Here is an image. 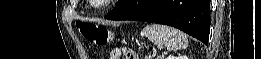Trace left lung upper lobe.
I'll list each match as a JSON object with an SVG mask.
<instances>
[{"mask_svg":"<svg viewBox=\"0 0 261 59\" xmlns=\"http://www.w3.org/2000/svg\"><path fill=\"white\" fill-rule=\"evenodd\" d=\"M122 2H124V0H119L117 5H120Z\"/></svg>","mask_w":261,"mask_h":59,"instance_id":"1","label":"left lung upper lobe"}]
</instances>
